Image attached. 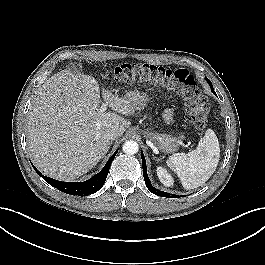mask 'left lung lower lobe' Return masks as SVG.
Here are the masks:
<instances>
[{
	"label": "left lung lower lobe",
	"instance_id": "left-lung-lower-lobe-1",
	"mask_svg": "<svg viewBox=\"0 0 265 265\" xmlns=\"http://www.w3.org/2000/svg\"><path fill=\"white\" fill-rule=\"evenodd\" d=\"M207 82L210 84L211 86V91L212 93H215L212 85H211V82L206 78ZM141 158H142V167H143V177H144V180H145V183H146V186L147 188L149 189V191H151L152 193L158 195V196H162V197H167V198H176L177 195H174V194H170V193H167V192H163V191H160L156 188H154L148 178V175H147V170H146V162H145V158H144V155L143 153H141Z\"/></svg>",
	"mask_w": 265,
	"mask_h": 265
}]
</instances>
